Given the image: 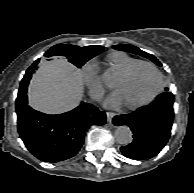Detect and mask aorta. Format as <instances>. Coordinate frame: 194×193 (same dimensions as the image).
Instances as JSON below:
<instances>
[{"label":"aorta","mask_w":194,"mask_h":193,"mask_svg":"<svg viewBox=\"0 0 194 193\" xmlns=\"http://www.w3.org/2000/svg\"><path fill=\"white\" fill-rule=\"evenodd\" d=\"M102 77L105 80L111 78L109 71L103 73ZM115 139L119 144H128L132 140V132L128 126H119L115 131Z\"/></svg>","instance_id":"762f6f07"}]
</instances>
